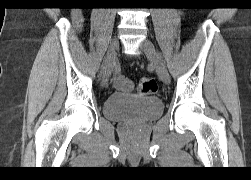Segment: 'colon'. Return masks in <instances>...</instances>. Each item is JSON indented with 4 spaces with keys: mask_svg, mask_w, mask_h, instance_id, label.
Segmentation results:
<instances>
[{
    "mask_svg": "<svg viewBox=\"0 0 251 180\" xmlns=\"http://www.w3.org/2000/svg\"><path fill=\"white\" fill-rule=\"evenodd\" d=\"M137 92L142 95L154 94L157 90V83L154 79L143 77L137 83Z\"/></svg>",
    "mask_w": 251,
    "mask_h": 180,
    "instance_id": "5ec220e1",
    "label": "colon"
}]
</instances>
